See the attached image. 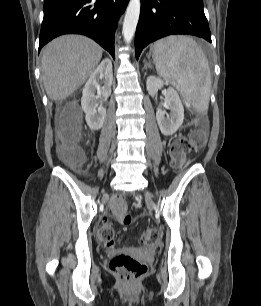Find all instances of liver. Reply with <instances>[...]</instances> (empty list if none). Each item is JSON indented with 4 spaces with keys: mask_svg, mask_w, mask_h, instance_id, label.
<instances>
[{
    "mask_svg": "<svg viewBox=\"0 0 261 306\" xmlns=\"http://www.w3.org/2000/svg\"><path fill=\"white\" fill-rule=\"evenodd\" d=\"M102 48L81 35L51 41L42 55V78L48 97L63 101L83 85L102 58Z\"/></svg>",
    "mask_w": 261,
    "mask_h": 306,
    "instance_id": "1",
    "label": "liver"
}]
</instances>
